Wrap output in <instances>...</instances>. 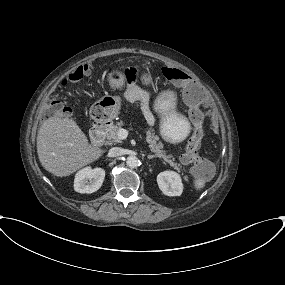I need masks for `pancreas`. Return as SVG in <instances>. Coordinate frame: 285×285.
I'll return each mask as SVG.
<instances>
[{
	"label": "pancreas",
	"instance_id": "obj_1",
	"mask_svg": "<svg viewBox=\"0 0 285 285\" xmlns=\"http://www.w3.org/2000/svg\"><path fill=\"white\" fill-rule=\"evenodd\" d=\"M123 122H117L116 124L111 123L108 125L106 129V138L110 143H120L121 140L118 138V131L123 126ZM159 138L153 132V129L149 128L146 130V142L149 144V148L151 152L154 153L155 157L162 158L166 163H168L171 167L182 171L181 165L174 162V158L172 156L167 155L165 151L162 150L163 144L158 142Z\"/></svg>",
	"mask_w": 285,
	"mask_h": 285
}]
</instances>
